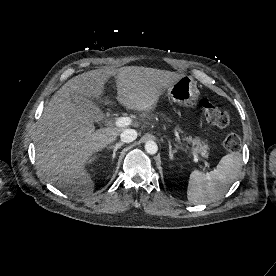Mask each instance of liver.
Segmentation results:
<instances>
[{
    "label": "liver",
    "instance_id": "obj_1",
    "mask_svg": "<svg viewBox=\"0 0 276 276\" xmlns=\"http://www.w3.org/2000/svg\"><path fill=\"white\" fill-rule=\"evenodd\" d=\"M116 77L117 100L127 109L149 113L160 96L183 75L148 67L92 70L67 81L44 108L35 135L36 160L46 179L78 195L92 193L94 183L85 164L113 143L121 128L95 130L94 122L71 95L100 99L105 83Z\"/></svg>",
    "mask_w": 276,
    "mask_h": 276
}]
</instances>
